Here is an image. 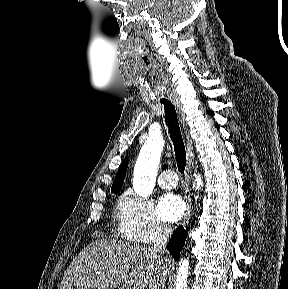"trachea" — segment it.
Masks as SVG:
<instances>
[{"instance_id": "3493384b", "label": "trachea", "mask_w": 288, "mask_h": 289, "mask_svg": "<svg viewBox=\"0 0 288 289\" xmlns=\"http://www.w3.org/2000/svg\"><path fill=\"white\" fill-rule=\"evenodd\" d=\"M145 64L149 65V60L146 56L143 57ZM155 97L160 100L164 105L165 110V122L169 129L170 138L174 145L175 158L177 162L178 170L184 173L186 166V151L184 142L182 139L179 122L177 119L176 110L173 104L166 100V88L160 84L156 83L155 86Z\"/></svg>"}]
</instances>
